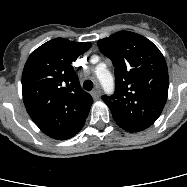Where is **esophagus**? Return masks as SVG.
<instances>
[{
    "label": "esophagus",
    "mask_w": 187,
    "mask_h": 187,
    "mask_svg": "<svg viewBox=\"0 0 187 187\" xmlns=\"http://www.w3.org/2000/svg\"><path fill=\"white\" fill-rule=\"evenodd\" d=\"M101 93V88L99 86H96L95 89L92 91L91 95L95 100H97L100 98Z\"/></svg>",
    "instance_id": "obj_1"
}]
</instances>
